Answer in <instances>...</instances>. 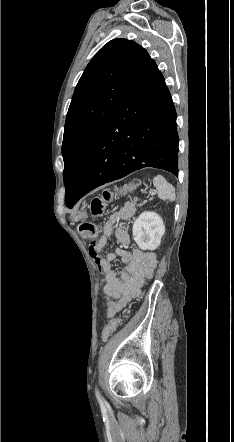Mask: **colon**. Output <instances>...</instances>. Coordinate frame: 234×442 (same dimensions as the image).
Masks as SVG:
<instances>
[{
    "label": "colon",
    "mask_w": 234,
    "mask_h": 442,
    "mask_svg": "<svg viewBox=\"0 0 234 442\" xmlns=\"http://www.w3.org/2000/svg\"><path fill=\"white\" fill-rule=\"evenodd\" d=\"M112 198V194L109 191H104L101 196L95 197L91 202V213L94 217H99L103 214L105 204ZM79 231L83 237L92 242H96L98 239V229L95 224L91 222L82 223L79 227ZM121 318H115L111 320L102 330V339L107 340L121 324Z\"/></svg>",
    "instance_id": "colon-1"
}]
</instances>
